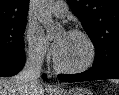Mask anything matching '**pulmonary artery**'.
<instances>
[{
  "label": "pulmonary artery",
  "mask_w": 119,
  "mask_h": 95,
  "mask_svg": "<svg viewBox=\"0 0 119 95\" xmlns=\"http://www.w3.org/2000/svg\"><path fill=\"white\" fill-rule=\"evenodd\" d=\"M67 12V5L63 1H57L52 6V13L56 17L63 18L66 16Z\"/></svg>",
  "instance_id": "obj_1"
}]
</instances>
